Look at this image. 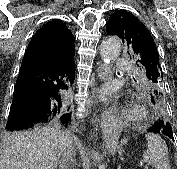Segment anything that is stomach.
I'll return each mask as SVG.
<instances>
[{"label": "stomach", "mask_w": 177, "mask_h": 169, "mask_svg": "<svg viewBox=\"0 0 177 169\" xmlns=\"http://www.w3.org/2000/svg\"><path fill=\"white\" fill-rule=\"evenodd\" d=\"M109 151L113 152L115 151V147L112 144H109L108 146Z\"/></svg>", "instance_id": "1"}]
</instances>
